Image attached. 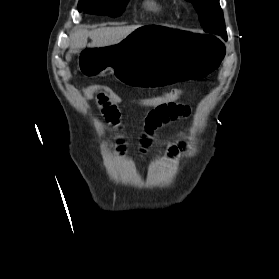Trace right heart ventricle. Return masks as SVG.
<instances>
[{
    "instance_id": "obj_1",
    "label": "right heart ventricle",
    "mask_w": 279,
    "mask_h": 279,
    "mask_svg": "<svg viewBox=\"0 0 279 279\" xmlns=\"http://www.w3.org/2000/svg\"><path fill=\"white\" fill-rule=\"evenodd\" d=\"M146 6L149 10H151L155 13H159L163 8V6L156 0H148L146 2Z\"/></svg>"
}]
</instances>
